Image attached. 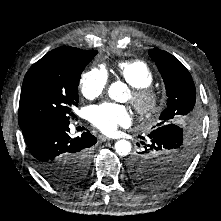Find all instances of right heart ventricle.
I'll list each match as a JSON object with an SVG mask.
<instances>
[{"label":"right heart ventricle","mask_w":221,"mask_h":221,"mask_svg":"<svg viewBox=\"0 0 221 221\" xmlns=\"http://www.w3.org/2000/svg\"><path fill=\"white\" fill-rule=\"evenodd\" d=\"M116 72L133 88L149 86L154 80L150 66L139 59L118 62Z\"/></svg>","instance_id":"obj_1"}]
</instances>
